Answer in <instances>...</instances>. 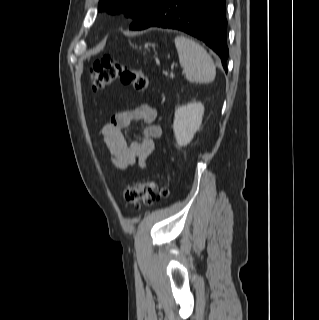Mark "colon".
I'll list each match as a JSON object with an SVG mask.
<instances>
[{
  "instance_id": "colon-1",
  "label": "colon",
  "mask_w": 319,
  "mask_h": 320,
  "mask_svg": "<svg viewBox=\"0 0 319 320\" xmlns=\"http://www.w3.org/2000/svg\"><path fill=\"white\" fill-rule=\"evenodd\" d=\"M91 84L94 90L104 89L120 79L136 91L147 89V77L139 70L119 63L113 56L105 55L95 61L90 68ZM168 196V188L164 179L149 178L127 186L123 190L126 203L138 206L141 203L153 205Z\"/></svg>"
}]
</instances>
